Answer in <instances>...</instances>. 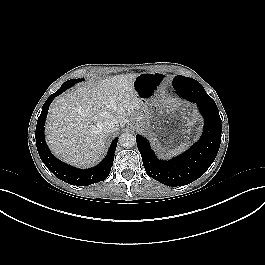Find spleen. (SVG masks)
I'll use <instances>...</instances> for the list:
<instances>
[{
    "mask_svg": "<svg viewBox=\"0 0 265 265\" xmlns=\"http://www.w3.org/2000/svg\"><path fill=\"white\" fill-rule=\"evenodd\" d=\"M190 143H181L177 148L169 151L167 153V156H171V155H176L184 150H186L188 148Z\"/></svg>",
    "mask_w": 265,
    "mask_h": 265,
    "instance_id": "obj_1",
    "label": "spleen"
}]
</instances>
